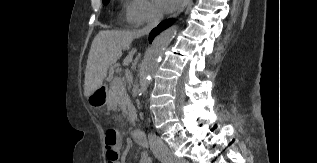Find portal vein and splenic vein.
<instances>
[{"label": "portal vein and splenic vein", "instance_id": "1", "mask_svg": "<svg viewBox=\"0 0 317 163\" xmlns=\"http://www.w3.org/2000/svg\"><path fill=\"white\" fill-rule=\"evenodd\" d=\"M115 82H116L117 84L121 83L118 79H116Z\"/></svg>", "mask_w": 317, "mask_h": 163}]
</instances>
